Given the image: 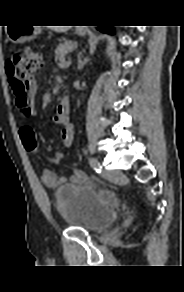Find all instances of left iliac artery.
Here are the masks:
<instances>
[{"mask_svg": "<svg viewBox=\"0 0 184 292\" xmlns=\"http://www.w3.org/2000/svg\"><path fill=\"white\" fill-rule=\"evenodd\" d=\"M89 163L91 165V167L97 172V173H101L102 171V166L100 165L99 161L93 157L89 158Z\"/></svg>", "mask_w": 184, "mask_h": 292, "instance_id": "44dca946", "label": "left iliac artery"}]
</instances>
